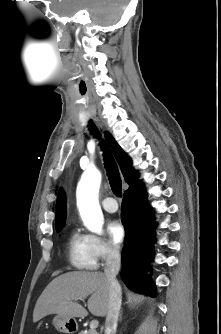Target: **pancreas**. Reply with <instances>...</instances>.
Masks as SVG:
<instances>
[{"label": "pancreas", "mask_w": 221, "mask_h": 334, "mask_svg": "<svg viewBox=\"0 0 221 334\" xmlns=\"http://www.w3.org/2000/svg\"><path fill=\"white\" fill-rule=\"evenodd\" d=\"M78 334H99L96 330L81 331Z\"/></svg>", "instance_id": "1"}]
</instances>
